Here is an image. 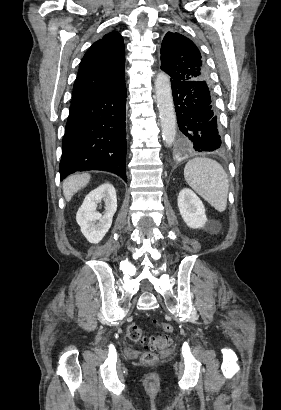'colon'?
<instances>
[{"instance_id":"colon-1","label":"colon","mask_w":281,"mask_h":410,"mask_svg":"<svg viewBox=\"0 0 281 410\" xmlns=\"http://www.w3.org/2000/svg\"><path fill=\"white\" fill-rule=\"evenodd\" d=\"M160 328L167 334L158 336H146L142 328L137 324L129 325L126 329V337L133 343L142 344L151 349L142 355L144 363H154L157 360V355L154 351L162 350L169 347L173 343V338L168 335L174 329L170 323H159Z\"/></svg>"}]
</instances>
